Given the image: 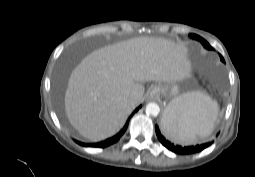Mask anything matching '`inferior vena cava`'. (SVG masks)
Segmentation results:
<instances>
[{"label": "inferior vena cava", "mask_w": 255, "mask_h": 177, "mask_svg": "<svg viewBox=\"0 0 255 177\" xmlns=\"http://www.w3.org/2000/svg\"><path fill=\"white\" fill-rule=\"evenodd\" d=\"M129 103H130V104H134V103H135L134 98H130V99H129Z\"/></svg>", "instance_id": "inferior-vena-cava-1"}]
</instances>
